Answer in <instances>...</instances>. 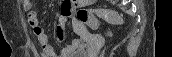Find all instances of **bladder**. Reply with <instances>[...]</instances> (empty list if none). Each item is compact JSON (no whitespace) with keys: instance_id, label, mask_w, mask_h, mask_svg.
<instances>
[{"instance_id":"1","label":"bladder","mask_w":172,"mask_h":57,"mask_svg":"<svg viewBox=\"0 0 172 57\" xmlns=\"http://www.w3.org/2000/svg\"><path fill=\"white\" fill-rule=\"evenodd\" d=\"M70 57H89V55H88V52L86 51V52H84L82 54H74V55H72Z\"/></svg>"}]
</instances>
